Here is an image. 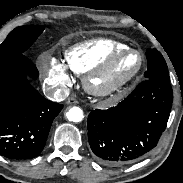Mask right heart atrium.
<instances>
[{
  "mask_svg": "<svg viewBox=\"0 0 183 183\" xmlns=\"http://www.w3.org/2000/svg\"><path fill=\"white\" fill-rule=\"evenodd\" d=\"M47 84L62 91L69 88L71 84L70 77L64 65L56 59H51L48 68L44 71Z\"/></svg>",
  "mask_w": 183,
  "mask_h": 183,
  "instance_id": "right-heart-atrium-1",
  "label": "right heart atrium"
}]
</instances>
